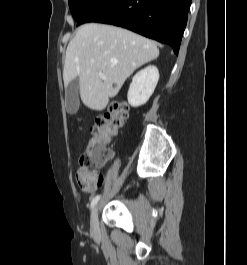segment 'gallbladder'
Returning <instances> with one entry per match:
<instances>
[{"instance_id": "bac80fb5", "label": "gallbladder", "mask_w": 247, "mask_h": 265, "mask_svg": "<svg viewBox=\"0 0 247 265\" xmlns=\"http://www.w3.org/2000/svg\"><path fill=\"white\" fill-rule=\"evenodd\" d=\"M79 78L73 79L65 89L66 110L74 114L78 108Z\"/></svg>"}]
</instances>
